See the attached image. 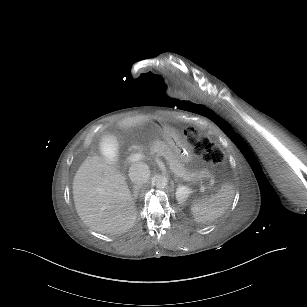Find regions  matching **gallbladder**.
<instances>
[{
	"instance_id": "1",
	"label": "gallbladder",
	"mask_w": 307,
	"mask_h": 307,
	"mask_svg": "<svg viewBox=\"0 0 307 307\" xmlns=\"http://www.w3.org/2000/svg\"><path fill=\"white\" fill-rule=\"evenodd\" d=\"M122 146V138L118 134H112L102 140V153L106 160L113 162L120 155V147Z\"/></svg>"
}]
</instances>
